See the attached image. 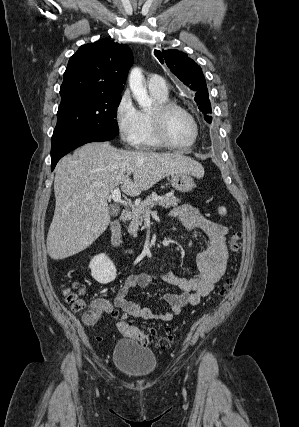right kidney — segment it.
<instances>
[{
	"label": "right kidney",
	"instance_id": "ca27d5eb",
	"mask_svg": "<svg viewBox=\"0 0 299 427\" xmlns=\"http://www.w3.org/2000/svg\"><path fill=\"white\" fill-rule=\"evenodd\" d=\"M92 277L101 284H108L116 278V268L113 262L105 255L95 256L90 264Z\"/></svg>",
	"mask_w": 299,
	"mask_h": 427
}]
</instances>
